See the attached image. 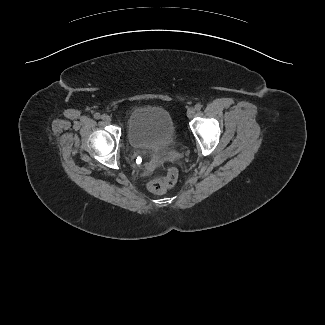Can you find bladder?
I'll return each mask as SVG.
<instances>
[{"mask_svg":"<svg viewBox=\"0 0 325 325\" xmlns=\"http://www.w3.org/2000/svg\"><path fill=\"white\" fill-rule=\"evenodd\" d=\"M126 135L133 147L166 149L178 140V132L169 111L156 106L134 109L127 120Z\"/></svg>","mask_w":325,"mask_h":325,"instance_id":"bladder-1","label":"bladder"}]
</instances>
